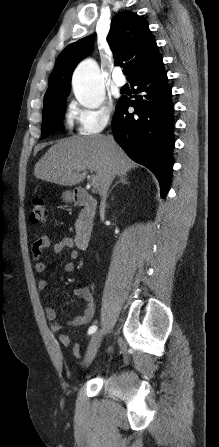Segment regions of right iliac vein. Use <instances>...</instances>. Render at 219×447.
Listing matches in <instances>:
<instances>
[{"label": "right iliac vein", "mask_w": 219, "mask_h": 447, "mask_svg": "<svg viewBox=\"0 0 219 447\" xmlns=\"http://www.w3.org/2000/svg\"><path fill=\"white\" fill-rule=\"evenodd\" d=\"M102 337H103V330L98 331L92 336L82 363L83 368L88 367L90 363L93 361L97 353V350L101 344Z\"/></svg>", "instance_id": "63e3f726"}]
</instances>
